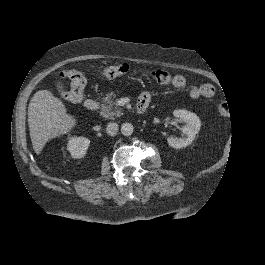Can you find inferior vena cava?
Returning <instances> with one entry per match:
<instances>
[{
    "mask_svg": "<svg viewBox=\"0 0 265 265\" xmlns=\"http://www.w3.org/2000/svg\"><path fill=\"white\" fill-rule=\"evenodd\" d=\"M119 129V126L117 123L110 122L107 124L106 130L109 133V135L114 136L117 134Z\"/></svg>",
    "mask_w": 265,
    "mask_h": 265,
    "instance_id": "602c4592",
    "label": "inferior vena cava"
}]
</instances>
